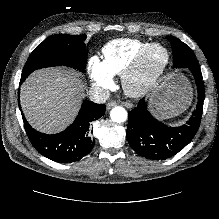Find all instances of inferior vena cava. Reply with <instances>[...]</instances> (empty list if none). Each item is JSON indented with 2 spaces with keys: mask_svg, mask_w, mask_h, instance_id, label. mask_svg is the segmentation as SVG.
Wrapping results in <instances>:
<instances>
[{
  "mask_svg": "<svg viewBox=\"0 0 219 219\" xmlns=\"http://www.w3.org/2000/svg\"><path fill=\"white\" fill-rule=\"evenodd\" d=\"M110 96V92L99 86H92L89 90V98L95 103H104Z\"/></svg>",
  "mask_w": 219,
  "mask_h": 219,
  "instance_id": "obj_1",
  "label": "inferior vena cava"
}]
</instances>
